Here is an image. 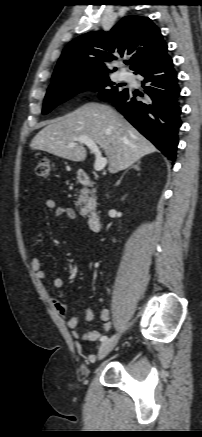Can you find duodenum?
Returning <instances> with one entry per match:
<instances>
[{
    "label": "duodenum",
    "mask_w": 202,
    "mask_h": 437,
    "mask_svg": "<svg viewBox=\"0 0 202 437\" xmlns=\"http://www.w3.org/2000/svg\"><path fill=\"white\" fill-rule=\"evenodd\" d=\"M77 179L79 183L87 188H90L93 185V180L91 176L85 171H79L77 174ZM87 224L89 228L94 232H98L101 229V219L94 208H91L89 210Z\"/></svg>",
    "instance_id": "duodenum-1"
}]
</instances>
